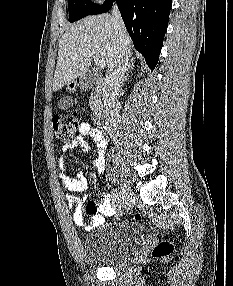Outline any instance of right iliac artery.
Returning a JSON list of instances; mask_svg holds the SVG:
<instances>
[{
    "instance_id": "1",
    "label": "right iliac artery",
    "mask_w": 233,
    "mask_h": 286,
    "mask_svg": "<svg viewBox=\"0 0 233 286\" xmlns=\"http://www.w3.org/2000/svg\"><path fill=\"white\" fill-rule=\"evenodd\" d=\"M112 200L113 202H118L120 201V193L117 191V189L113 190L112 192Z\"/></svg>"
}]
</instances>
